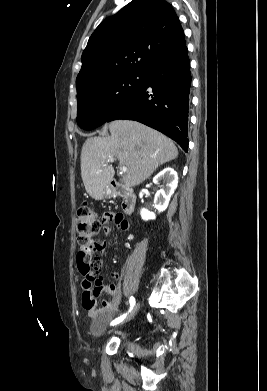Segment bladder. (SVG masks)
<instances>
[{"mask_svg":"<svg viewBox=\"0 0 267 391\" xmlns=\"http://www.w3.org/2000/svg\"><path fill=\"white\" fill-rule=\"evenodd\" d=\"M114 314L115 312L113 310H106V311L99 312L92 324V328H91L92 336L99 337L104 331H106L108 328V324L114 317ZM115 328L111 330H114Z\"/></svg>","mask_w":267,"mask_h":391,"instance_id":"bladder-1","label":"bladder"}]
</instances>
